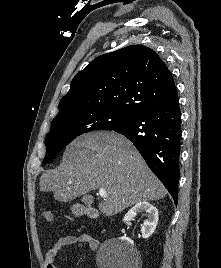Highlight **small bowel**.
Wrapping results in <instances>:
<instances>
[{
    "label": "small bowel",
    "instance_id": "1",
    "mask_svg": "<svg viewBox=\"0 0 221 268\" xmlns=\"http://www.w3.org/2000/svg\"><path fill=\"white\" fill-rule=\"evenodd\" d=\"M77 245L79 248L89 247L91 250L98 248L99 242L94 237L88 234H82L79 236L68 235L58 239V241L48 249L45 254V267L46 268H57L56 259L59 251L64 248Z\"/></svg>",
    "mask_w": 221,
    "mask_h": 268
}]
</instances>
